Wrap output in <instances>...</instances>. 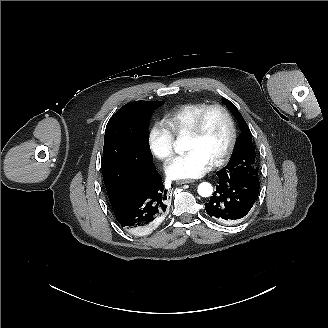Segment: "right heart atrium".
I'll use <instances>...</instances> for the list:
<instances>
[{
	"label": "right heart atrium",
	"instance_id": "right-heart-atrium-1",
	"mask_svg": "<svg viewBox=\"0 0 328 328\" xmlns=\"http://www.w3.org/2000/svg\"><path fill=\"white\" fill-rule=\"evenodd\" d=\"M148 146L151 153L160 160H167L174 154L173 135L162 121H155L150 125Z\"/></svg>",
	"mask_w": 328,
	"mask_h": 328
}]
</instances>
